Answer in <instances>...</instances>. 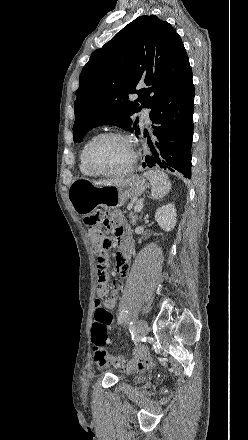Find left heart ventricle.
<instances>
[{"mask_svg":"<svg viewBox=\"0 0 248 440\" xmlns=\"http://www.w3.org/2000/svg\"><path fill=\"white\" fill-rule=\"evenodd\" d=\"M131 158L129 144L116 137L100 141L92 150L91 163L102 172H116L125 168Z\"/></svg>","mask_w":248,"mask_h":440,"instance_id":"1","label":"left heart ventricle"}]
</instances>
